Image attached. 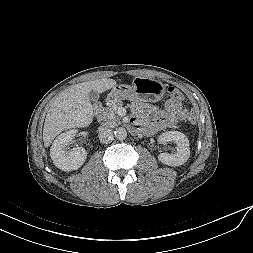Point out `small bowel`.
<instances>
[{"label": "small bowel", "instance_id": "c3829d8e", "mask_svg": "<svg viewBox=\"0 0 253 253\" xmlns=\"http://www.w3.org/2000/svg\"><path fill=\"white\" fill-rule=\"evenodd\" d=\"M131 108L133 112L131 127L140 126L148 134L173 128L188 116L183 104L174 99L168 100L163 109L144 102H135Z\"/></svg>", "mask_w": 253, "mask_h": 253}]
</instances>
